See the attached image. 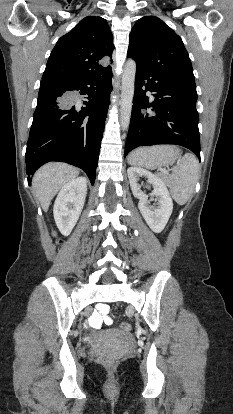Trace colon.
Returning a JSON list of instances; mask_svg holds the SVG:
<instances>
[{
    "mask_svg": "<svg viewBox=\"0 0 233 414\" xmlns=\"http://www.w3.org/2000/svg\"><path fill=\"white\" fill-rule=\"evenodd\" d=\"M119 327L124 332H128V331L131 330V325L128 322H121ZM99 360L103 365H105L107 367H111L114 364V360L112 358L108 357V356H101L99 358Z\"/></svg>",
    "mask_w": 233,
    "mask_h": 414,
    "instance_id": "obj_1",
    "label": "colon"
}]
</instances>
